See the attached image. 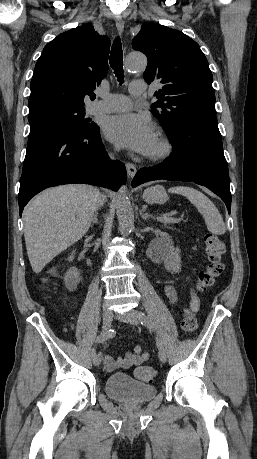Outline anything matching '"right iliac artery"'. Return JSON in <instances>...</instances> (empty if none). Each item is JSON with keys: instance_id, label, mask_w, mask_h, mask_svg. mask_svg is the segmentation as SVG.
<instances>
[{"instance_id": "obj_1", "label": "right iliac artery", "mask_w": 257, "mask_h": 459, "mask_svg": "<svg viewBox=\"0 0 257 459\" xmlns=\"http://www.w3.org/2000/svg\"><path fill=\"white\" fill-rule=\"evenodd\" d=\"M114 330L113 329H110V330H105L103 332H101L95 339V343H102L104 341H106L107 339L109 338H112L114 337ZM96 355V350L93 348L92 349V356H95ZM99 355H101V353H99Z\"/></svg>"}]
</instances>
